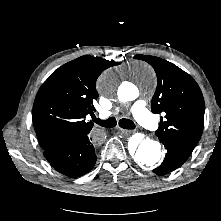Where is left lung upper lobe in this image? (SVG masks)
<instances>
[{
  "instance_id": "5c2ea615",
  "label": "left lung upper lobe",
  "mask_w": 221,
  "mask_h": 221,
  "mask_svg": "<svg viewBox=\"0 0 221 221\" xmlns=\"http://www.w3.org/2000/svg\"><path fill=\"white\" fill-rule=\"evenodd\" d=\"M148 62L157 75V88L151 101L153 113L161 117L156 136L192 149L198 144L204 122L205 104L195 80L176 65L159 57L136 55Z\"/></svg>"
}]
</instances>
